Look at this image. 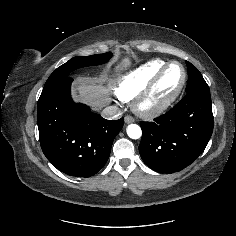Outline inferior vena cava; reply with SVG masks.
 <instances>
[{
	"instance_id": "inferior-vena-cava-1",
	"label": "inferior vena cava",
	"mask_w": 236,
	"mask_h": 236,
	"mask_svg": "<svg viewBox=\"0 0 236 236\" xmlns=\"http://www.w3.org/2000/svg\"><path fill=\"white\" fill-rule=\"evenodd\" d=\"M101 115L106 119H117L122 115V112L117 106H108L102 111Z\"/></svg>"
}]
</instances>
